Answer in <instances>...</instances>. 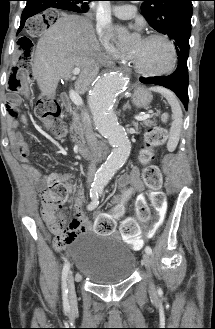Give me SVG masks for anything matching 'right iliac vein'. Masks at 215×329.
<instances>
[{"mask_svg": "<svg viewBox=\"0 0 215 329\" xmlns=\"http://www.w3.org/2000/svg\"><path fill=\"white\" fill-rule=\"evenodd\" d=\"M68 292H69V299L71 303L75 302L76 294H75V284H74V277L70 272L68 276Z\"/></svg>", "mask_w": 215, "mask_h": 329, "instance_id": "1", "label": "right iliac vein"}]
</instances>
